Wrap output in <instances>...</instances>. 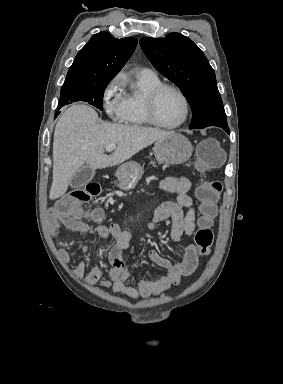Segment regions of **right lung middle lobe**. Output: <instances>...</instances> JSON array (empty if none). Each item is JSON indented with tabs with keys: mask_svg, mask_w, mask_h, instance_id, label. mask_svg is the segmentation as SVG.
Returning a JSON list of instances; mask_svg holds the SVG:
<instances>
[{
	"mask_svg": "<svg viewBox=\"0 0 283 384\" xmlns=\"http://www.w3.org/2000/svg\"><path fill=\"white\" fill-rule=\"evenodd\" d=\"M107 85L108 83L62 87L59 108L74 101H85L102 110L103 94Z\"/></svg>",
	"mask_w": 283,
	"mask_h": 384,
	"instance_id": "right-lung-middle-lobe-1",
	"label": "right lung middle lobe"
}]
</instances>
